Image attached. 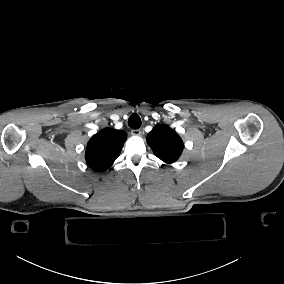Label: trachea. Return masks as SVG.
I'll return each mask as SVG.
<instances>
[{
    "label": "trachea",
    "instance_id": "obj_1",
    "mask_svg": "<svg viewBox=\"0 0 284 284\" xmlns=\"http://www.w3.org/2000/svg\"><path fill=\"white\" fill-rule=\"evenodd\" d=\"M128 125L132 129H138L141 126V118L138 114L133 113L128 119Z\"/></svg>",
    "mask_w": 284,
    "mask_h": 284
}]
</instances>
